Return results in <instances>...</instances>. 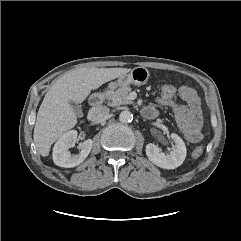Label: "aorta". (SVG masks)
Listing matches in <instances>:
<instances>
[{"label":"aorta","instance_id":"762f6f07","mask_svg":"<svg viewBox=\"0 0 241 241\" xmlns=\"http://www.w3.org/2000/svg\"><path fill=\"white\" fill-rule=\"evenodd\" d=\"M119 120L122 123H129L133 120V114L128 110H124L120 113Z\"/></svg>","mask_w":241,"mask_h":241}]
</instances>
